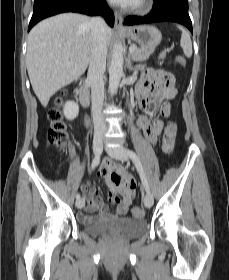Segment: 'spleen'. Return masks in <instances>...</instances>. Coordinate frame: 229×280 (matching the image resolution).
I'll list each match as a JSON object with an SVG mask.
<instances>
[{
    "label": "spleen",
    "instance_id": "obj_1",
    "mask_svg": "<svg viewBox=\"0 0 229 280\" xmlns=\"http://www.w3.org/2000/svg\"><path fill=\"white\" fill-rule=\"evenodd\" d=\"M179 29L182 31L180 44L183 49L184 54L187 57H191L192 55V42L189 33L179 26Z\"/></svg>",
    "mask_w": 229,
    "mask_h": 280
}]
</instances>
